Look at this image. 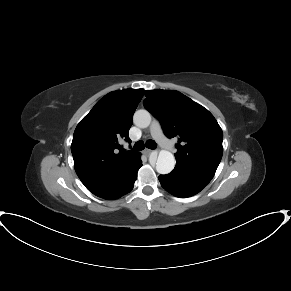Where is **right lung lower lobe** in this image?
<instances>
[{
  "instance_id": "right-lung-lower-lobe-1",
  "label": "right lung lower lobe",
  "mask_w": 291,
  "mask_h": 291,
  "mask_svg": "<svg viewBox=\"0 0 291 291\" xmlns=\"http://www.w3.org/2000/svg\"><path fill=\"white\" fill-rule=\"evenodd\" d=\"M141 166L142 161L140 155H138L132 166L117 178L108 183L90 187L88 190L104 199H117L132 190L137 178V172Z\"/></svg>"
}]
</instances>
